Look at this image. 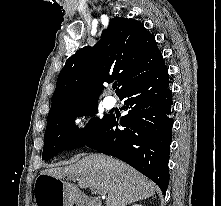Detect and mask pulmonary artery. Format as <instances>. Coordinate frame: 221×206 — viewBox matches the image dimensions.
<instances>
[{"mask_svg":"<svg viewBox=\"0 0 221 206\" xmlns=\"http://www.w3.org/2000/svg\"><path fill=\"white\" fill-rule=\"evenodd\" d=\"M104 105L106 108L110 109L115 105V100L113 97L108 96L104 99Z\"/></svg>","mask_w":221,"mask_h":206,"instance_id":"pulmonary-artery-1","label":"pulmonary artery"}]
</instances>
